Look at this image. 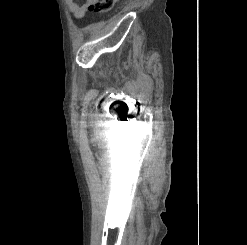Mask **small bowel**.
Listing matches in <instances>:
<instances>
[{
	"label": "small bowel",
	"mask_w": 247,
	"mask_h": 245,
	"mask_svg": "<svg viewBox=\"0 0 247 245\" xmlns=\"http://www.w3.org/2000/svg\"><path fill=\"white\" fill-rule=\"evenodd\" d=\"M93 0H87L86 3L80 4L75 0H65L66 6L75 18H82L88 11L89 5Z\"/></svg>",
	"instance_id": "c3829d8e"
}]
</instances>
